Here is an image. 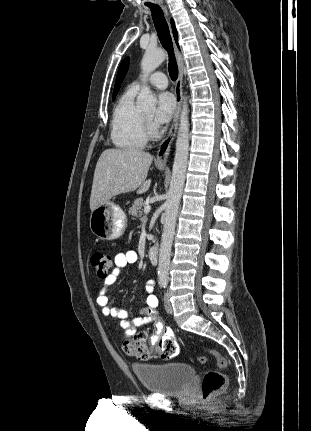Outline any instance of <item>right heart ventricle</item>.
<instances>
[{
    "label": "right heart ventricle",
    "instance_id": "obj_1",
    "mask_svg": "<svg viewBox=\"0 0 311 431\" xmlns=\"http://www.w3.org/2000/svg\"><path fill=\"white\" fill-rule=\"evenodd\" d=\"M135 95L136 92L128 88L113 109L110 138L119 150H139L147 141L143 114L134 104Z\"/></svg>",
    "mask_w": 311,
    "mask_h": 431
}]
</instances>
